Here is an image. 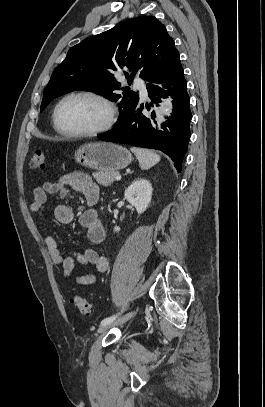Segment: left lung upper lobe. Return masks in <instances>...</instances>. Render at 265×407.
I'll list each match as a JSON object with an SVG mask.
<instances>
[{
    "label": "left lung upper lobe",
    "mask_w": 265,
    "mask_h": 407,
    "mask_svg": "<svg viewBox=\"0 0 265 407\" xmlns=\"http://www.w3.org/2000/svg\"><path fill=\"white\" fill-rule=\"evenodd\" d=\"M180 62L179 53L165 26L153 16L129 19L115 28L91 36L73 46L65 60L55 69L44 90L41 111L56 97L77 89H86L118 101L122 123L138 104L139 97L121 84L113 72L128 69L132 81L140 70L146 81L167 75Z\"/></svg>",
    "instance_id": "1"
}]
</instances>
